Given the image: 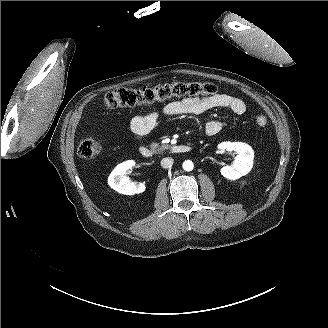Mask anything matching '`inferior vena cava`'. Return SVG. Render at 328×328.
<instances>
[{
    "label": "inferior vena cava",
    "instance_id": "602c4592",
    "mask_svg": "<svg viewBox=\"0 0 328 328\" xmlns=\"http://www.w3.org/2000/svg\"><path fill=\"white\" fill-rule=\"evenodd\" d=\"M173 165V159L171 157H166L161 160V166L163 168H171Z\"/></svg>",
    "mask_w": 328,
    "mask_h": 328
}]
</instances>
